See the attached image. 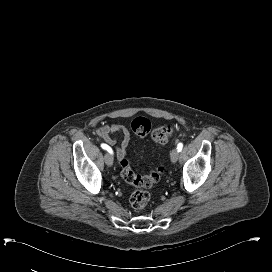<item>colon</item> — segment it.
Returning <instances> with one entry per match:
<instances>
[{"mask_svg":"<svg viewBox=\"0 0 272 272\" xmlns=\"http://www.w3.org/2000/svg\"><path fill=\"white\" fill-rule=\"evenodd\" d=\"M131 129L139 137H145L149 133L154 142L165 144L173 134V127L169 124H162L152 127V123L148 118L137 117L131 122ZM121 176L127 182L139 187L150 188L160 180L164 171L162 166H158L146 175H137L131 168L130 161L123 158L120 161ZM150 200L149 193L143 189L136 190L130 197V204L137 211L144 210Z\"/></svg>","mask_w":272,"mask_h":272,"instance_id":"obj_1","label":"colon"}]
</instances>
